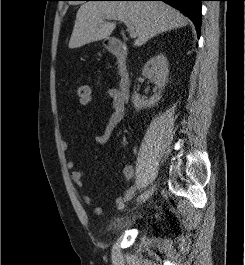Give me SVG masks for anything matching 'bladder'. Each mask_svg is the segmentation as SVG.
I'll list each match as a JSON object with an SVG mask.
<instances>
[{"label":"bladder","instance_id":"1","mask_svg":"<svg viewBox=\"0 0 245 265\" xmlns=\"http://www.w3.org/2000/svg\"><path fill=\"white\" fill-rule=\"evenodd\" d=\"M128 226L127 223L121 222V221H116V220H111L108 224V229L107 231L109 233L117 232L120 231Z\"/></svg>","mask_w":245,"mask_h":265}]
</instances>
